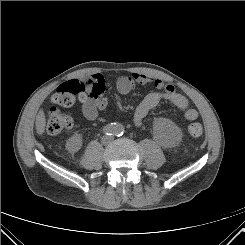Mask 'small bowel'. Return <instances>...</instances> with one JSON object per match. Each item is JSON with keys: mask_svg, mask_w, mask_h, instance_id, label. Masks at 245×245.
I'll return each instance as SVG.
<instances>
[{"mask_svg": "<svg viewBox=\"0 0 245 245\" xmlns=\"http://www.w3.org/2000/svg\"><path fill=\"white\" fill-rule=\"evenodd\" d=\"M82 81L90 82V89L94 93L83 100L82 113L88 120H96L99 111L105 109L109 100L104 95L105 80L99 73H94L89 77L83 78ZM136 85H153L155 91L147 94L136 107L133 114V123L141 126L144 118L149 112L157 107L162 101H167L173 106L183 111L186 120L193 121L198 118V112L189 105L188 99L176 92L170 84H165L162 80L141 73L123 75L117 79L116 88L121 95L130 93Z\"/></svg>", "mask_w": 245, "mask_h": 245, "instance_id": "1", "label": "small bowel"}]
</instances>
